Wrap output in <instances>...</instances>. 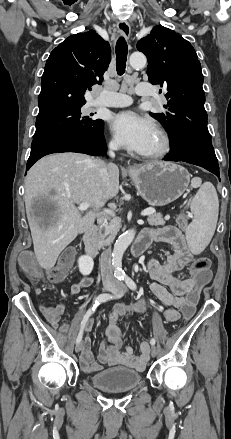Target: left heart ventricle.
<instances>
[{
    "label": "left heart ventricle",
    "instance_id": "left-heart-ventricle-1",
    "mask_svg": "<svg viewBox=\"0 0 231 439\" xmlns=\"http://www.w3.org/2000/svg\"><path fill=\"white\" fill-rule=\"evenodd\" d=\"M159 145H160V138H159V135L157 134V132L155 131V133L152 136L149 144L147 145L144 153L156 150L159 147Z\"/></svg>",
    "mask_w": 231,
    "mask_h": 439
}]
</instances>
